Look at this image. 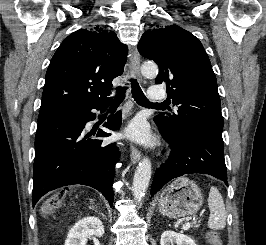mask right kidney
<instances>
[{
    "instance_id": "1",
    "label": "right kidney",
    "mask_w": 266,
    "mask_h": 245,
    "mask_svg": "<svg viewBox=\"0 0 266 245\" xmlns=\"http://www.w3.org/2000/svg\"><path fill=\"white\" fill-rule=\"evenodd\" d=\"M104 227L98 217H85L70 229L65 245H84L90 237H102Z\"/></svg>"
}]
</instances>
